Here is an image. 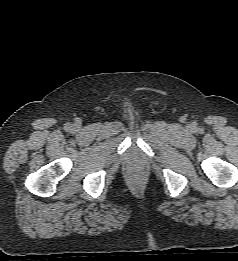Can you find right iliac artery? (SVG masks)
Listing matches in <instances>:
<instances>
[{
  "mask_svg": "<svg viewBox=\"0 0 238 261\" xmlns=\"http://www.w3.org/2000/svg\"><path fill=\"white\" fill-rule=\"evenodd\" d=\"M70 127H71V124H70V123H66V124H65V128H66V129H70Z\"/></svg>",
  "mask_w": 238,
  "mask_h": 261,
  "instance_id": "obj_1",
  "label": "right iliac artery"
}]
</instances>
